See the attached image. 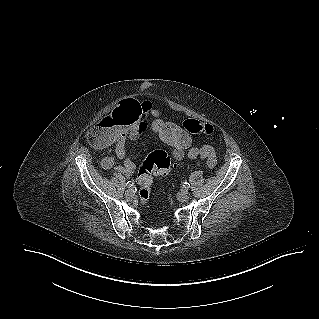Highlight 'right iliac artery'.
<instances>
[{
  "label": "right iliac artery",
  "mask_w": 319,
  "mask_h": 319,
  "mask_svg": "<svg viewBox=\"0 0 319 319\" xmlns=\"http://www.w3.org/2000/svg\"><path fill=\"white\" fill-rule=\"evenodd\" d=\"M133 184H134V183H133L132 181H128L127 184H126V186H127L128 188H130V187L133 186Z\"/></svg>",
  "instance_id": "obj_1"
}]
</instances>
